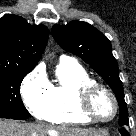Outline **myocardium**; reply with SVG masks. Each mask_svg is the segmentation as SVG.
Returning <instances> with one entry per match:
<instances>
[{
  "instance_id": "1",
  "label": "myocardium",
  "mask_w": 136,
  "mask_h": 136,
  "mask_svg": "<svg viewBox=\"0 0 136 136\" xmlns=\"http://www.w3.org/2000/svg\"><path fill=\"white\" fill-rule=\"evenodd\" d=\"M98 91H104L112 100L114 110L109 118L103 119L98 117L92 109V100ZM78 104L82 114L89 120L97 123H107L112 121L117 116L119 110L118 101L113 91L106 85L95 81L89 82L79 89Z\"/></svg>"
}]
</instances>
